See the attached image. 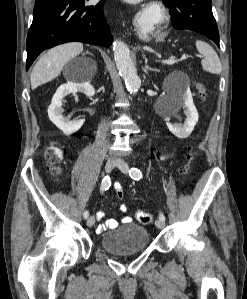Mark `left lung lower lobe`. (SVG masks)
I'll return each mask as SVG.
<instances>
[{
  "mask_svg": "<svg viewBox=\"0 0 247 299\" xmlns=\"http://www.w3.org/2000/svg\"><path fill=\"white\" fill-rule=\"evenodd\" d=\"M171 14L175 29H189L213 40L218 47L219 33L212 13L211 0H162Z\"/></svg>",
  "mask_w": 247,
  "mask_h": 299,
  "instance_id": "1",
  "label": "left lung lower lobe"
}]
</instances>
